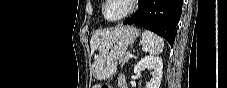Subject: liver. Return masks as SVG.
Listing matches in <instances>:
<instances>
[{
  "instance_id": "liver-1",
  "label": "liver",
  "mask_w": 227,
  "mask_h": 88,
  "mask_svg": "<svg viewBox=\"0 0 227 88\" xmlns=\"http://www.w3.org/2000/svg\"><path fill=\"white\" fill-rule=\"evenodd\" d=\"M110 32H99L92 36L90 40L91 52L93 53L99 46L100 42L109 35Z\"/></svg>"
}]
</instances>
